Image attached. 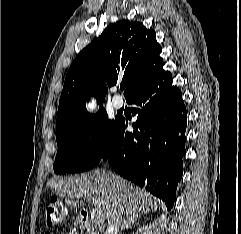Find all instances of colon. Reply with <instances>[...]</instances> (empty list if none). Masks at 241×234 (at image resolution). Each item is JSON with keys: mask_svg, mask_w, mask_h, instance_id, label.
I'll use <instances>...</instances> for the list:
<instances>
[{"mask_svg": "<svg viewBox=\"0 0 241 234\" xmlns=\"http://www.w3.org/2000/svg\"><path fill=\"white\" fill-rule=\"evenodd\" d=\"M67 210L54 196L50 197L45 211V222L50 228L55 227L66 220Z\"/></svg>", "mask_w": 241, "mask_h": 234, "instance_id": "obj_1", "label": "colon"}]
</instances>
